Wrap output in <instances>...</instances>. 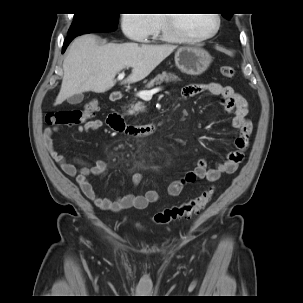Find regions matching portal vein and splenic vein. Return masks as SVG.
Wrapping results in <instances>:
<instances>
[{"instance_id":"obj_1","label":"portal vein and splenic vein","mask_w":303,"mask_h":303,"mask_svg":"<svg viewBox=\"0 0 303 303\" xmlns=\"http://www.w3.org/2000/svg\"><path fill=\"white\" fill-rule=\"evenodd\" d=\"M124 77V72L120 73L118 76V80L122 79ZM161 91L160 87L151 89V90H143L137 93V96L141 98L142 100H150L153 96V94Z\"/></svg>"}]
</instances>
